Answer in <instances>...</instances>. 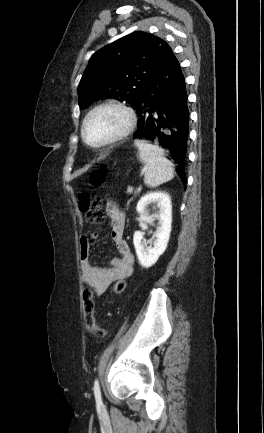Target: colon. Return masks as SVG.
<instances>
[{
    "label": "colon",
    "instance_id": "colon-1",
    "mask_svg": "<svg viewBox=\"0 0 264 433\" xmlns=\"http://www.w3.org/2000/svg\"><path fill=\"white\" fill-rule=\"evenodd\" d=\"M107 167L100 165L96 167L90 174L89 181L94 187H100L106 179ZM79 205L81 211L85 214L86 219L91 224H99L105 220V213L102 210V200L100 197L92 195L87 192L79 194ZM126 288V282L124 280L117 281L112 291L115 294H121ZM83 312L84 319L89 332L96 337H104L106 330L96 325L94 319V293L89 287H86L83 291Z\"/></svg>",
    "mask_w": 264,
    "mask_h": 433
}]
</instances>
